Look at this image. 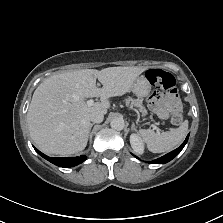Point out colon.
<instances>
[{
    "label": "colon",
    "instance_id": "5ec220e1",
    "mask_svg": "<svg viewBox=\"0 0 223 223\" xmlns=\"http://www.w3.org/2000/svg\"><path fill=\"white\" fill-rule=\"evenodd\" d=\"M146 77L150 83L162 88L166 92L170 94L177 93V86L175 79L170 73L160 69H151L147 71ZM182 121H183V114L181 113V111H176L171 116V123L174 125H179L182 123Z\"/></svg>",
    "mask_w": 223,
    "mask_h": 223
}]
</instances>
